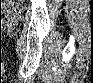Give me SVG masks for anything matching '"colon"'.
<instances>
[{"label":"colon","mask_w":93,"mask_h":83,"mask_svg":"<svg viewBox=\"0 0 93 83\" xmlns=\"http://www.w3.org/2000/svg\"><path fill=\"white\" fill-rule=\"evenodd\" d=\"M23 2L22 1H7L3 4V8L2 10L3 11H6L8 9L10 10H15V6H18V5H22Z\"/></svg>","instance_id":"colon-1"}]
</instances>
